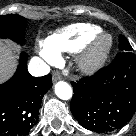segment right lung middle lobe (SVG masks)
<instances>
[{
  "label": "right lung middle lobe",
  "mask_w": 136,
  "mask_h": 136,
  "mask_svg": "<svg viewBox=\"0 0 136 136\" xmlns=\"http://www.w3.org/2000/svg\"><path fill=\"white\" fill-rule=\"evenodd\" d=\"M25 22V18L16 14L0 16V38H9L15 42L22 43Z\"/></svg>",
  "instance_id": "right-lung-middle-lobe-1"
}]
</instances>
